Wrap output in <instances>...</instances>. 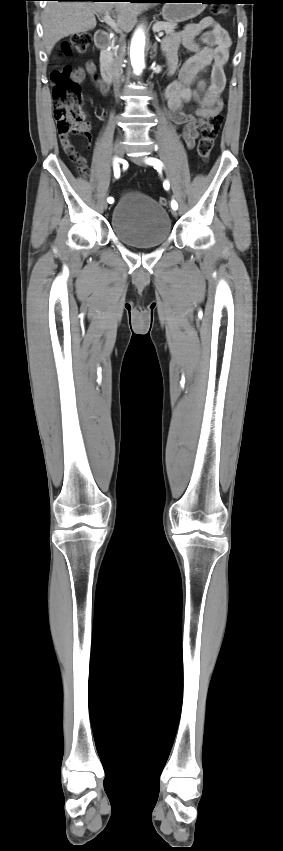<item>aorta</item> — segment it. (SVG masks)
I'll use <instances>...</instances> for the list:
<instances>
[{
	"mask_svg": "<svg viewBox=\"0 0 283 851\" xmlns=\"http://www.w3.org/2000/svg\"><path fill=\"white\" fill-rule=\"evenodd\" d=\"M144 46V33L141 29H138L132 38L130 47L131 65L135 74H140L144 68Z\"/></svg>",
	"mask_w": 283,
	"mask_h": 851,
	"instance_id": "762f6f07",
	"label": "aorta"
}]
</instances>
